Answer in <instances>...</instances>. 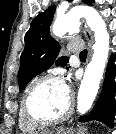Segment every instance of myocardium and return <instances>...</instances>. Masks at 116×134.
<instances>
[{"instance_id": "1", "label": "myocardium", "mask_w": 116, "mask_h": 134, "mask_svg": "<svg viewBox=\"0 0 116 134\" xmlns=\"http://www.w3.org/2000/svg\"><path fill=\"white\" fill-rule=\"evenodd\" d=\"M48 81H58L62 82V79L55 74H46L40 78H38L34 83H32L25 91L23 97H22V102H21V107L23 114L27 118V120L37 126H49V125H54L61 123L69 118V116L72 114L73 109H74V100L72 97H70V102L67 110L60 116L57 117H38L36 116L31 108H30V99L33 94V92L43 83L48 82Z\"/></svg>"}]
</instances>
